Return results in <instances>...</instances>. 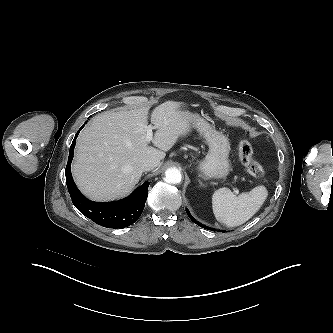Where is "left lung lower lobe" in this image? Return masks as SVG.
<instances>
[{
	"mask_svg": "<svg viewBox=\"0 0 333 333\" xmlns=\"http://www.w3.org/2000/svg\"><path fill=\"white\" fill-rule=\"evenodd\" d=\"M186 212H187L189 218H190L194 223H196L198 226L203 227V228L208 229V230H211V231H215L213 228H210V227L204 226V225H202L201 223H199L198 221H196V220L191 216V214L189 213L188 210H186Z\"/></svg>",
	"mask_w": 333,
	"mask_h": 333,
	"instance_id": "left-lung-lower-lobe-1",
	"label": "left lung lower lobe"
}]
</instances>
